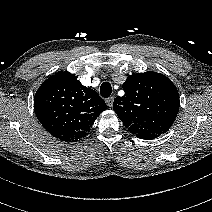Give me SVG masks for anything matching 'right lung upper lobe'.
Masks as SVG:
<instances>
[{"mask_svg":"<svg viewBox=\"0 0 212 212\" xmlns=\"http://www.w3.org/2000/svg\"><path fill=\"white\" fill-rule=\"evenodd\" d=\"M34 109L42 126L55 138L74 142L84 138L106 109L105 102L69 72L56 73L35 94Z\"/></svg>","mask_w":212,"mask_h":212,"instance_id":"1","label":"right lung upper lobe"}]
</instances>
